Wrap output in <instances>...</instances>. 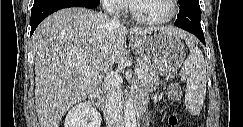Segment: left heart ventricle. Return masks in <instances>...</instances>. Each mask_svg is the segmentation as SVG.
Here are the masks:
<instances>
[{"instance_id":"obj_1","label":"left heart ventricle","mask_w":243,"mask_h":127,"mask_svg":"<svg viewBox=\"0 0 243 127\" xmlns=\"http://www.w3.org/2000/svg\"><path fill=\"white\" fill-rule=\"evenodd\" d=\"M135 10L138 15L145 18H160L170 11L168 0H136Z\"/></svg>"}]
</instances>
